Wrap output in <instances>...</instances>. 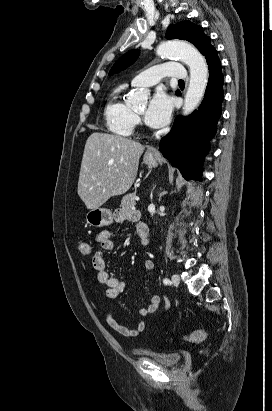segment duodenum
Here are the masks:
<instances>
[{"label":"duodenum","instance_id":"duodenum-1","mask_svg":"<svg viewBox=\"0 0 272 411\" xmlns=\"http://www.w3.org/2000/svg\"><path fill=\"white\" fill-rule=\"evenodd\" d=\"M136 231L140 239V244L142 248H148L149 246V228L143 222H137Z\"/></svg>","mask_w":272,"mask_h":411}]
</instances>
